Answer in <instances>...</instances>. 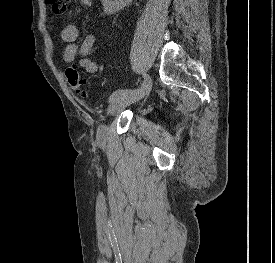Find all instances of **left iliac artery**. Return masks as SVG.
Wrapping results in <instances>:
<instances>
[{"mask_svg":"<svg viewBox=\"0 0 275 263\" xmlns=\"http://www.w3.org/2000/svg\"><path fill=\"white\" fill-rule=\"evenodd\" d=\"M150 83V77L146 74H144V81L141 85L140 88L138 89H122V90H117L115 92L112 93V95L110 96L109 100L112 102L114 99L121 97L123 95H127L130 93H136L139 92L141 90H143L148 84Z\"/></svg>","mask_w":275,"mask_h":263,"instance_id":"obj_1","label":"left iliac artery"}]
</instances>
